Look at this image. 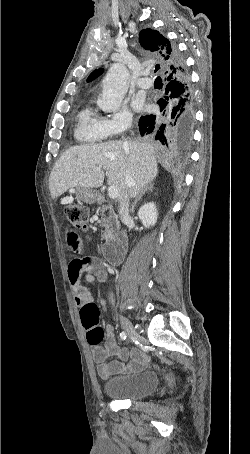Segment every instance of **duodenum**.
Returning a JSON list of instances; mask_svg holds the SVG:
<instances>
[{
    "label": "duodenum",
    "mask_w": 250,
    "mask_h": 454,
    "mask_svg": "<svg viewBox=\"0 0 250 454\" xmlns=\"http://www.w3.org/2000/svg\"><path fill=\"white\" fill-rule=\"evenodd\" d=\"M127 235L122 232L113 237L101 247V253L106 262L111 265H119L122 261V253L126 247Z\"/></svg>",
    "instance_id": "1"
}]
</instances>
